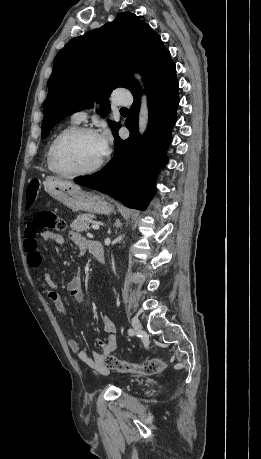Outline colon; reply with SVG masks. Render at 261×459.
<instances>
[{"instance_id": "colon-1", "label": "colon", "mask_w": 261, "mask_h": 459, "mask_svg": "<svg viewBox=\"0 0 261 459\" xmlns=\"http://www.w3.org/2000/svg\"><path fill=\"white\" fill-rule=\"evenodd\" d=\"M41 192L40 182L36 179L30 181L26 191L25 205L31 209ZM67 224L65 220L59 218L50 211H41L34 215L33 218L26 220L24 235L26 238H35L38 230L56 229L65 230ZM104 365L107 368L122 373H135L141 375H155L162 373L166 369V364L157 358L149 359L143 363H131L118 359L113 355H107L104 359Z\"/></svg>"}]
</instances>
